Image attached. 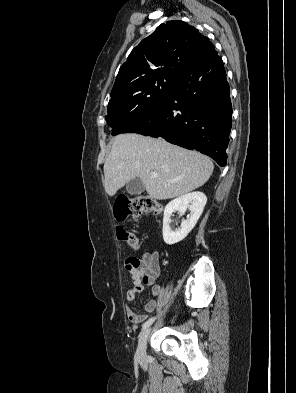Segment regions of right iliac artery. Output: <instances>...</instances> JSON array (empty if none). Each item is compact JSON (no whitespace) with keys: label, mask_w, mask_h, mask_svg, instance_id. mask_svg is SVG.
Segmentation results:
<instances>
[{"label":"right iliac artery","mask_w":296,"mask_h":393,"mask_svg":"<svg viewBox=\"0 0 296 393\" xmlns=\"http://www.w3.org/2000/svg\"><path fill=\"white\" fill-rule=\"evenodd\" d=\"M156 319V317H152L149 320H147L143 325H142V330H145L146 328H148Z\"/></svg>","instance_id":"obj_1"}]
</instances>
